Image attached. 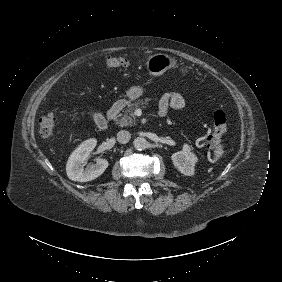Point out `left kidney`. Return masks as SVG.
I'll return each mask as SVG.
<instances>
[{"mask_svg":"<svg viewBox=\"0 0 282 282\" xmlns=\"http://www.w3.org/2000/svg\"><path fill=\"white\" fill-rule=\"evenodd\" d=\"M196 160V156L190 153L189 147L186 145L183 147L182 151H178L172 155L173 164L186 176L193 174Z\"/></svg>","mask_w":282,"mask_h":282,"instance_id":"left-kidney-1","label":"left kidney"}]
</instances>
